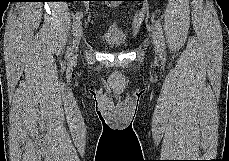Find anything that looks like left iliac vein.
<instances>
[{"label":"left iliac vein","mask_w":229,"mask_h":161,"mask_svg":"<svg viewBox=\"0 0 229 161\" xmlns=\"http://www.w3.org/2000/svg\"><path fill=\"white\" fill-rule=\"evenodd\" d=\"M151 36H152V41L155 47V52L157 55H160L161 54L160 43H159V39H158L156 32L152 31Z\"/></svg>","instance_id":"obj_1"}]
</instances>
